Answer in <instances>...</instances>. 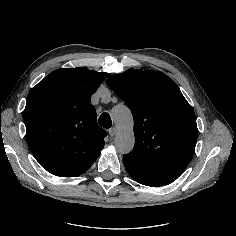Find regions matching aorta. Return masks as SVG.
Returning a JSON list of instances; mask_svg holds the SVG:
<instances>
[{
    "label": "aorta",
    "instance_id": "obj_1",
    "mask_svg": "<svg viewBox=\"0 0 236 236\" xmlns=\"http://www.w3.org/2000/svg\"><path fill=\"white\" fill-rule=\"evenodd\" d=\"M112 117L118 128L115 136V148L121 154L129 153L135 144L133 116L126 105H117L112 110Z\"/></svg>",
    "mask_w": 236,
    "mask_h": 236
}]
</instances>
